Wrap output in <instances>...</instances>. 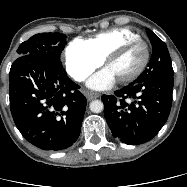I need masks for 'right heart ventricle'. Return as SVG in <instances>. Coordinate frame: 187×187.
<instances>
[{"instance_id": "obj_1", "label": "right heart ventricle", "mask_w": 187, "mask_h": 187, "mask_svg": "<svg viewBox=\"0 0 187 187\" xmlns=\"http://www.w3.org/2000/svg\"><path fill=\"white\" fill-rule=\"evenodd\" d=\"M135 32L126 28H115L100 32L85 40L89 47L102 59L115 47L124 41L139 38Z\"/></svg>"}]
</instances>
